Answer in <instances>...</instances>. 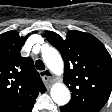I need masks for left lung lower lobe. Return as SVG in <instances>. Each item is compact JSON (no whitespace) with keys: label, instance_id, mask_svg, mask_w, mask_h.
<instances>
[{"label":"left lung lower lobe","instance_id":"1","mask_svg":"<svg viewBox=\"0 0 112 112\" xmlns=\"http://www.w3.org/2000/svg\"><path fill=\"white\" fill-rule=\"evenodd\" d=\"M60 110H61V112H77V111H73V110L67 109L65 107H60Z\"/></svg>","mask_w":112,"mask_h":112}]
</instances>
